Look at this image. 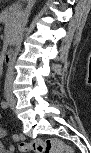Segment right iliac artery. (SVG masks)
<instances>
[{
    "mask_svg": "<svg viewBox=\"0 0 91 153\" xmlns=\"http://www.w3.org/2000/svg\"><path fill=\"white\" fill-rule=\"evenodd\" d=\"M1 107H2L3 109H6V108L8 107V103H7L6 101H2V102H1Z\"/></svg>",
    "mask_w": 91,
    "mask_h": 153,
    "instance_id": "82829eb1",
    "label": "right iliac artery"
}]
</instances>
